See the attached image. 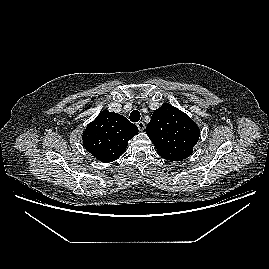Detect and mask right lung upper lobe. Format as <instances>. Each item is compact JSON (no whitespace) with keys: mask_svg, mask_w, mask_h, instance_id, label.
Returning a JSON list of instances; mask_svg holds the SVG:
<instances>
[{"mask_svg":"<svg viewBox=\"0 0 269 269\" xmlns=\"http://www.w3.org/2000/svg\"><path fill=\"white\" fill-rule=\"evenodd\" d=\"M138 133L136 125L117 113L103 110L89 123L83 133V145L99 161L108 163L118 159L128 141Z\"/></svg>","mask_w":269,"mask_h":269,"instance_id":"obj_1","label":"right lung upper lobe"}]
</instances>
